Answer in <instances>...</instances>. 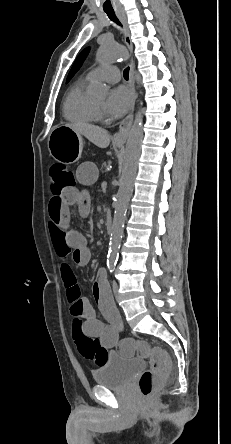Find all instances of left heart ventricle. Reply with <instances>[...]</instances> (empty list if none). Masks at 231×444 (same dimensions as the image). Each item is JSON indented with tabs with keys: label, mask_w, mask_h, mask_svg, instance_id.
<instances>
[{
	"label": "left heart ventricle",
	"mask_w": 231,
	"mask_h": 444,
	"mask_svg": "<svg viewBox=\"0 0 231 444\" xmlns=\"http://www.w3.org/2000/svg\"><path fill=\"white\" fill-rule=\"evenodd\" d=\"M103 106H104L103 103H98V104H97V107H99V108H102Z\"/></svg>",
	"instance_id": "b2bd125f"
}]
</instances>
